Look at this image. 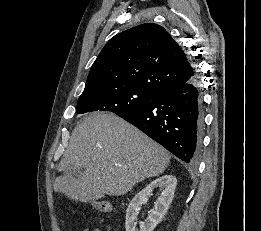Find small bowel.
Segmentation results:
<instances>
[{"label":"small bowel","instance_id":"c3829d8e","mask_svg":"<svg viewBox=\"0 0 261 231\" xmlns=\"http://www.w3.org/2000/svg\"><path fill=\"white\" fill-rule=\"evenodd\" d=\"M82 231H100L99 228H84Z\"/></svg>","mask_w":261,"mask_h":231}]
</instances>
